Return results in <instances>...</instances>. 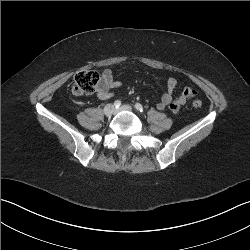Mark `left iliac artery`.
<instances>
[{"label": "left iliac artery", "instance_id": "1", "mask_svg": "<svg viewBox=\"0 0 250 250\" xmlns=\"http://www.w3.org/2000/svg\"><path fill=\"white\" fill-rule=\"evenodd\" d=\"M135 108L140 111V112H143V106L140 104V103H136L135 104Z\"/></svg>", "mask_w": 250, "mask_h": 250}]
</instances>
